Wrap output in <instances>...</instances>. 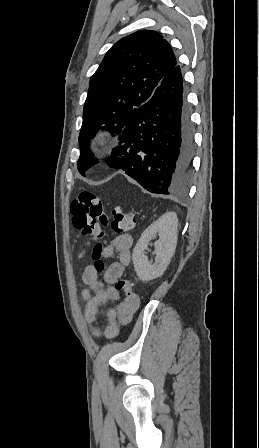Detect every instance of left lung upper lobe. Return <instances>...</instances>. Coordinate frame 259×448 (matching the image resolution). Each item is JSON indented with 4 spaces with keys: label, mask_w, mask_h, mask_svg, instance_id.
<instances>
[{
    "label": "left lung upper lobe",
    "mask_w": 259,
    "mask_h": 448,
    "mask_svg": "<svg viewBox=\"0 0 259 448\" xmlns=\"http://www.w3.org/2000/svg\"><path fill=\"white\" fill-rule=\"evenodd\" d=\"M177 63L170 44L156 31L135 32L109 49L91 77L84 104L77 162L81 174L93 163L88 142L94 133L101 128L121 133L131 111L151 98Z\"/></svg>",
    "instance_id": "1"
}]
</instances>
